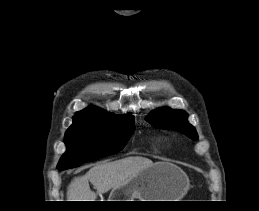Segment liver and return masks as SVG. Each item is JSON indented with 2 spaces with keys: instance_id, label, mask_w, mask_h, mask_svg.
Here are the masks:
<instances>
[{
  "instance_id": "6515ba94",
  "label": "liver",
  "mask_w": 259,
  "mask_h": 211,
  "mask_svg": "<svg viewBox=\"0 0 259 211\" xmlns=\"http://www.w3.org/2000/svg\"><path fill=\"white\" fill-rule=\"evenodd\" d=\"M154 163L143 157H127L93 166L85 175L74 178L67 190L68 201H95L97 194L106 193ZM89 182L96 189H90Z\"/></svg>"
}]
</instances>
